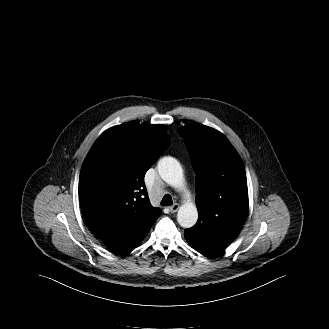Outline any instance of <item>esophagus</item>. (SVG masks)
<instances>
[{
    "label": "esophagus",
    "mask_w": 329,
    "mask_h": 329,
    "mask_svg": "<svg viewBox=\"0 0 329 329\" xmlns=\"http://www.w3.org/2000/svg\"><path fill=\"white\" fill-rule=\"evenodd\" d=\"M179 207H180L179 204L178 203H175V204H173L172 206L169 207V211L171 213H175V212L178 211Z\"/></svg>",
    "instance_id": "esophagus-1"
}]
</instances>
